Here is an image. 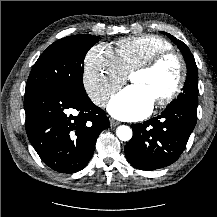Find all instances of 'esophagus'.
<instances>
[{"instance_id": "esophagus-1", "label": "esophagus", "mask_w": 217, "mask_h": 217, "mask_svg": "<svg viewBox=\"0 0 217 217\" xmlns=\"http://www.w3.org/2000/svg\"><path fill=\"white\" fill-rule=\"evenodd\" d=\"M118 124H119L118 121H116V120H114V119H111V120H110V126H111V127H115V126H117Z\"/></svg>"}]
</instances>
